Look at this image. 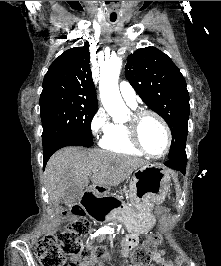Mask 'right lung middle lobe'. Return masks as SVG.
I'll use <instances>...</instances> for the list:
<instances>
[{
    "label": "right lung middle lobe",
    "instance_id": "right-lung-middle-lobe-1",
    "mask_svg": "<svg viewBox=\"0 0 221 266\" xmlns=\"http://www.w3.org/2000/svg\"><path fill=\"white\" fill-rule=\"evenodd\" d=\"M40 108L43 151L93 145L91 121L97 105L75 94L50 90L41 93Z\"/></svg>",
    "mask_w": 221,
    "mask_h": 266
}]
</instances>
